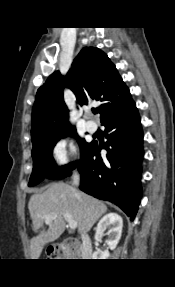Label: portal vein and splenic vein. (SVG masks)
<instances>
[{"label": "portal vein and splenic vein", "mask_w": 175, "mask_h": 287, "mask_svg": "<svg viewBox=\"0 0 175 287\" xmlns=\"http://www.w3.org/2000/svg\"><path fill=\"white\" fill-rule=\"evenodd\" d=\"M63 216H64V219L68 222L69 228L75 229L77 227V222L73 220L72 217L68 213L63 214ZM52 218H53V214L45 216V222L49 223L52 220Z\"/></svg>", "instance_id": "portal-vein-and-splenic-vein-1"}]
</instances>
